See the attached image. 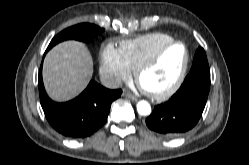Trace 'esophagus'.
<instances>
[{
	"mask_svg": "<svg viewBox=\"0 0 249 165\" xmlns=\"http://www.w3.org/2000/svg\"><path fill=\"white\" fill-rule=\"evenodd\" d=\"M123 95L129 99H131L132 101H137V97L135 95H133L132 93L130 92H127V91H124L123 92Z\"/></svg>",
	"mask_w": 249,
	"mask_h": 165,
	"instance_id": "1",
	"label": "esophagus"
}]
</instances>
